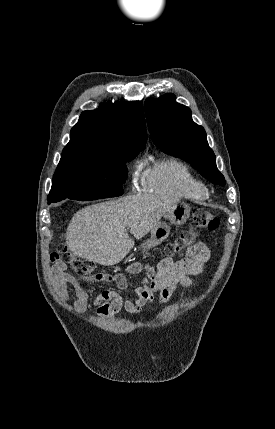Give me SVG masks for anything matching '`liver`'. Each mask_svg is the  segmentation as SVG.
I'll list each match as a JSON object with an SVG mask.
<instances>
[{
  "instance_id": "1",
  "label": "liver",
  "mask_w": 275,
  "mask_h": 429,
  "mask_svg": "<svg viewBox=\"0 0 275 429\" xmlns=\"http://www.w3.org/2000/svg\"><path fill=\"white\" fill-rule=\"evenodd\" d=\"M177 201L158 195H131L79 210L66 232L67 247L79 257L109 266L122 261L136 239L151 231Z\"/></svg>"
}]
</instances>
